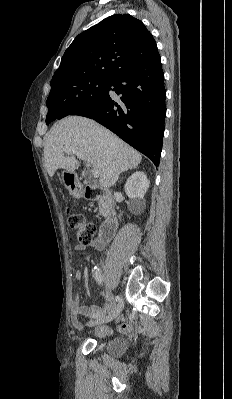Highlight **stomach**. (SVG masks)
I'll list each match as a JSON object with an SVG mask.
<instances>
[{"label":"stomach","mask_w":232,"mask_h":399,"mask_svg":"<svg viewBox=\"0 0 232 399\" xmlns=\"http://www.w3.org/2000/svg\"><path fill=\"white\" fill-rule=\"evenodd\" d=\"M62 178V184H64L65 188L69 190L70 194H77V178L76 174L74 172H67V170H64L61 174ZM81 196V192H80Z\"/></svg>","instance_id":"obj_1"}]
</instances>
